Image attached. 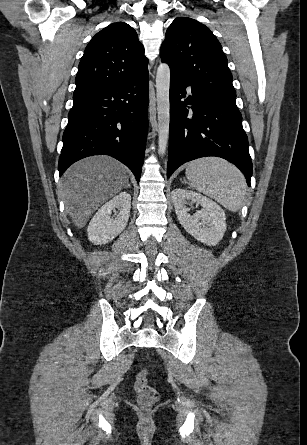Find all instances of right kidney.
<instances>
[{"label": "right kidney", "instance_id": "right-kidney-1", "mask_svg": "<svg viewBox=\"0 0 307 445\" xmlns=\"http://www.w3.org/2000/svg\"><path fill=\"white\" fill-rule=\"evenodd\" d=\"M131 194L129 192H119L117 196L105 202L93 218H91L87 229V235L91 243L95 245H105L113 241L124 231L130 216ZM118 208L116 218H111L112 210Z\"/></svg>", "mask_w": 307, "mask_h": 445}]
</instances>
